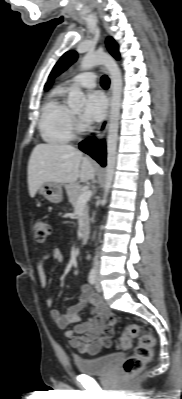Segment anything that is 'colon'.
Masks as SVG:
<instances>
[{
	"label": "colon",
	"mask_w": 182,
	"mask_h": 399,
	"mask_svg": "<svg viewBox=\"0 0 182 399\" xmlns=\"http://www.w3.org/2000/svg\"><path fill=\"white\" fill-rule=\"evenodd\" d=\"M32 237L35 242L43 243L50 234V226L40 217H34L31 222ZM139 339L135 353L128 357L123 365L122 372L124 375L131 376L139 373L144 366L151 361L153 349L155 346V336L147 330H143L138 325H127L118 340L120 349H128L131 347L134 339Z\"/></svg>",
	"instance_id": "colon-1"
}]
</instances>
